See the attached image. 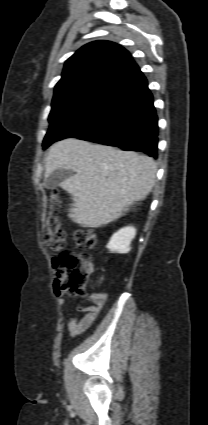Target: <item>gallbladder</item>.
<instances>
[{
	"label": "gallbladder",
	"mask_w": 208,
	"mask_h": 425,
	"mask_svg": "<svg viewBox=\"0 0 208 425\" xmlns=\"http://www.w3.org/2000/svg\"><path fill=\"white\" fill-rule=\"evenodd\" d=\"M73 172L67 169H58L54 171L45 181L44 186L47 189H54L60 186L64 181L72 176Z\"/></svg>",
	"instance_id": "1"
}]
</instances>
